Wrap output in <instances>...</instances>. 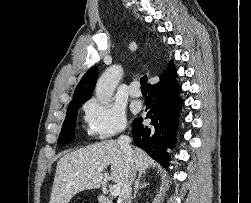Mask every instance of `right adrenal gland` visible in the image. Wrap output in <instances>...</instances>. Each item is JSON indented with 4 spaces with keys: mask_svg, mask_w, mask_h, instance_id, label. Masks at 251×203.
I'll return each mask as SVG.
<instances>
[{
    "mask_svg": "<svg viewBox=\"0 0 251 203\" xmlns=\"http://www.w3.org/2000/svg\"><path fill=\"white\" fill-rule=\"evenodd\" d=\"M143 177V174L142 173H139L138 175V178L136 179V182H135V186H134V193H133V196H132V199H135L136 198V195H137V192H138V189L139 188H144L146 187L147 185H149V183H141V179Z\"/></svg>",
    "mask_w": 251,
    "mask_h": 203,
    "instance_id": "2a0ac1e0",
    "label": "right adrenal gland"
}]
</instances>
